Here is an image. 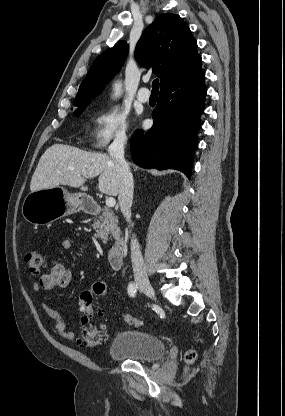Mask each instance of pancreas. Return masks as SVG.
I'll return each mask as SVG.
<instances>
[{
    "instance_id": "cf45deb5",
    "label": "pancreas",
    "mask_w": 285,
    "mask_h": 416,
    "mask_svg": "<svg viewBox=\"0 0 285 416\" xmlns=\"http://www.w3.org/2000/svg\"><path fill=\"white\" fill-rule=\"evenodd\" d=\"M105 212H103L102 216H100L99 220H95L93 222V228L96 232V238H101L102 242L106 244L108 240V234H112V232H117L118 228V220L113 216L112 210L105 206Z\"/></svg>"
}]
</instances>
